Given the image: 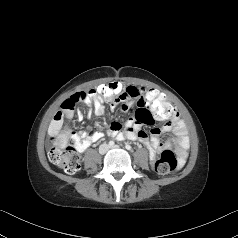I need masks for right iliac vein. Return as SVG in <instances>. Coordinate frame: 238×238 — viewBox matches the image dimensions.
Here are the masks:
<instances>
[{"label":"right iliac vein","instance_id":"1","mask_svg":"<svg viewBox=\"0 0 238 238\" xmlns=\"http://www.w3.org/2000/svg\"><path fill=\"white\" fill-rule=\"evenodd\" d=\"M107 150H108V146L106 144L101 145L99 148L100 154H105Z\"/></svg>","mask_w":238,"mask_h":238}]
</instances>
